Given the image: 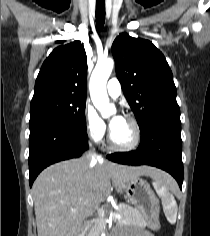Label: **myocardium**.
<instances>
[{"mask_svg": "<svg viewBox=\"0 0 210 236\" xmlns=\"http://www.w3.org/2000/svg\"><path fill=\"white\" fill-rule=\"evenodd\" d=\"M124 119H126L129 123H131L133 127L134 137H133L132 142L127 145H118L113 141L111 131L109 132V135H108L109 147L119 152H129L136 149L139 146L141 142V138H142L141 128L137 119L132 115H125Z\"/></svg>", "mask_w": 210, "mask_h": 236, "instance_id": "obj_1", "label": "myocardium"}]
</instances>
